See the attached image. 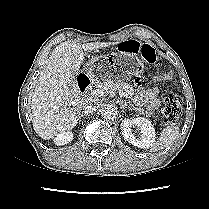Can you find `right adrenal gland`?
<instances>
[{"mask_svg": "<svg viewBox=\"0 0 209 209\" xmlns=\"http://www.w3.org/2000/svg\"><path fill=\"white\" fill-rule=\"evenodd\" d=\"M83 115H86V116H88L89 114H86V113H82V114L80 115V119H81V117H83Z\"/></svg>", "mask_w": 209, "mask_h": 209, "instance_id": "2a0ac1e0", "label": "right adrenal gland"}]
</instances>
